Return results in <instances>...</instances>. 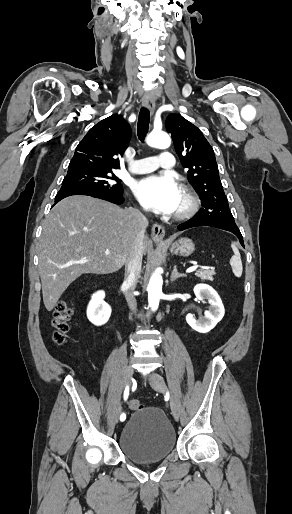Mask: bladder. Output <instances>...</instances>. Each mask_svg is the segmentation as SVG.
I'll use <instances>...</instances> for the list:
<instances>
[{
  "label": "bladder",
  "mask_w": 292,
  "mask_h": 514,
  "mask_svg": "<svg viewBox=\"0 0 292 514\" xmlns=\"http://www.w3.org/2000/svg\"><path fill=\"white\" fill-rule=\"evenodd\" d=\"M175 431L157 407L134 410L124 423L118 444L121 452L136 463L163 460L176 446Z\"/></svg>",
  "instance_id": "bladder-1"
}]
</instances>
